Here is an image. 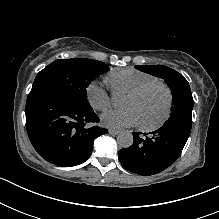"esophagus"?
Instances as JSON below:
<instances>
[{"label": "esophagus", "mask_w": 219, "mask_h": 219, "mask_svg": "<svg viewBox=\"0 0 219 219\" xmlns=\"http://www.w3.org/2000/svg\"><path fill=\"white\" fill-rule=\"evenodd\" d=\"M119 133H120V131L117 129H109V134H111V135H117Z\"/></svg>", "instance_id": "obj_1"}]
</instances>
